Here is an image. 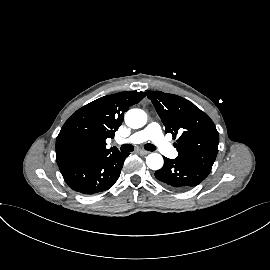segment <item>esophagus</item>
<instances>
[{"label":"esophagus","instance_id":"esophagus-1","mask_svg":"<svg viewBox=\"0 0 270 270\" xmlns=\"http://www.w3.org/2000/svg\"><path fill=\"white\" fill-rule=\"evenodd\" d=\"M138 153L141 154V155H147V154H149L148 151L143 150V149L138 150Z\"/></svg>","mask_w":270,"mask_h":270}]
</instances>
